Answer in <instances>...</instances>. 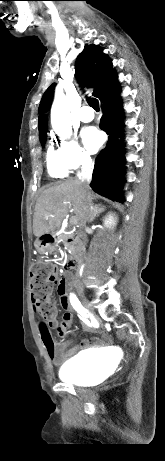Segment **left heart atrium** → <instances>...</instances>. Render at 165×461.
Wrapping results in <instances>:
<instances>
[{
  "instance_id": "left-heart-atrium-1",
  "label": "left heart atrium",
  "mask_w": 165,
  "mask_h": 461,
  "mask_svg": "<svg viewBox=\"0 0 165 461\" xmlns=\"http://www.w3.org/2000/svg\"><path fill=\"white\" fill-rule=\"evenodd\" d=\"M82 138L91 152L97 151L104 141L102 133L95 127L86 128L82 133Z\"/></svg>"
}]
</instances>
